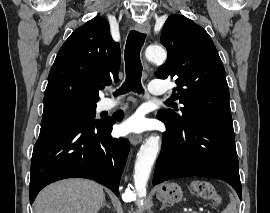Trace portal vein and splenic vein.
Masks as SVG:
<instances>
[{
    "mask_svg": "<svg viewBox=\"0 0 270 213\" xmlns=\"http://www.w3.org/2000/svg\"><path fill=\"white\" fill-rule=\"evenodd\" d=\"M189 211H191V213H197L196 211H194V210H191V209H190Z\"/></svg>",
    "mask_w": 270,
    "mask_h": 213,
    "instance_id": "portal-vein-and-splenic-vein-1",
    "label": "portal vein and splenic vein"
}]
</instances>
